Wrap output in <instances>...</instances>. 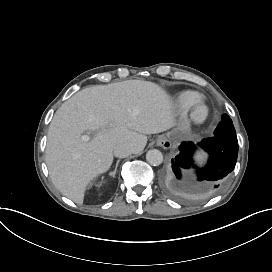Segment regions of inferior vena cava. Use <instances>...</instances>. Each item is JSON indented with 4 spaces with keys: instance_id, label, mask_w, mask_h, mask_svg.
Returning a JSON list of instances; mask_svg holds the SVG:
<instances>
[{
    "instance_id": "1",
    "label": "inferior vena cava",
    "mask_w": 272,
    "mask_h": 272,
    "mask_svg": "<svg viewBox=\"0 0 272 272\" xmlns=\"http://www.w3.org/2000/svg\"><path fill=\"white\" fill-rule=\"evenodd\" d=\"M113 153L118 158H125L133 153V146L126 142L120 143L114 147Z\"/></svg>"
}]
</instances>
